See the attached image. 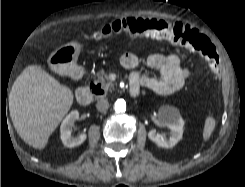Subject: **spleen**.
Instances as JSON below:
<instances>
[{
	"instance_id": "spleen-1",
	"label": "spleen",
	"mask_w": 245,
	"mask_h": 187,
	"mask_svg": "<svg viewBox=\"0 0 245 187\" xmlns=\"http://www.w3.org/2000/svg\"><path fill=\"white\" fill-rule=\"evenodd\" d=\"M216 125V121L212 116H208L205 120L204 129H203V140L206 141L212 134Z\"/></svg>"
}]
</instances>
